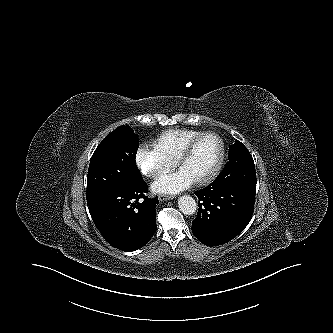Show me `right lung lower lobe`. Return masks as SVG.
Masks as SVG:
<instances>
[{"label":"right lung lower lobe","instance_id":"obj_1","mask_svg":"<svg viewBox=\"0 0 333 333\" xmlns=\"http://www.w3.org/2000/svg\"><path fill=\"white\" fill-rule=\"evenodd\" d=\"M147 192L148 186L142 179L87 200L96 228L114 248L137 250L155 233V208L159 201L148 198Z\"/></svg>","mask_w":333,"mask_h":333}]
</instances>
